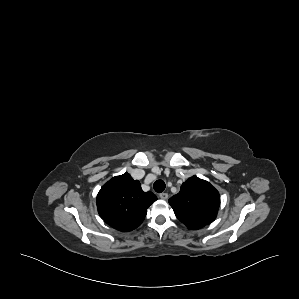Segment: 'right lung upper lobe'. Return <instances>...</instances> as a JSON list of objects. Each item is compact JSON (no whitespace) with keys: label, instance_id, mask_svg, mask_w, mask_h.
<instances>
[{"label":"right lung upper lobe","instance_id":"right-lung-upper-lobe-1","mask_svg":"<svg viewBox=\"0 0 299 299\" xmlns=\"http://www.w3.org/2000/svg\"><path fill=\"white\" fill-rule=\"evenodd\" d=\"M156 200L152 192L142 190L139 181L124 173L102 186L97 196V208L108 225L127 232L143 222L147 208Z\"/></svg>","mask_w":299,"mask_h":299}]
</instances>
